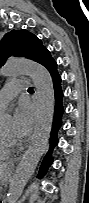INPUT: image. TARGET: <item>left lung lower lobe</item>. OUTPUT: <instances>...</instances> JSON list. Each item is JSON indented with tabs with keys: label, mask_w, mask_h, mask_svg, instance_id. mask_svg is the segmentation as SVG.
<instances>
[{
	"label": "left lung lower lobe",
	"mask_w": 89,
	"mask_h": 203,
	"mask_svg": "<svg viewBox=\"0 0 89 203\" xmlns=\"http://www.w3.org/2000/svg\"><path fill=\"white\" fill-rule=\"evenodd\" d=\"M38 63L42 64L49 70L53 79V86L55 91V108H54L53 127L50 135V149L46 154V156L44 157L40 167V171L37 175V177L43 178L47 173L48 168L51 166L53 162L52 151L58 143L57 132L62 124L61 119L62 114L64 113V108L62 105L63 92L61 89V77L57 72V64L55 60L52 58L50 52L46 48L42 52V55Z\"/></svg>",
	"instance_id": "0a47b994"
}]
</instances>
